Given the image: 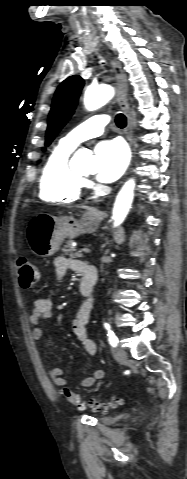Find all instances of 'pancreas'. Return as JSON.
<instances>
[{
  "mask_svg": "<svg viewBox=\"0 0 187 479\" xmlns=\"http://www.w3.org/2000/svg\"><path fill=\"white\" fill-rule=\"evenodd\" d=\"M72 244H73V240H71V239L67 240L66 244L63 248V252H65L66 254L70 253V256L72 258H81L83 256L82 253L81 252H75V249L72 246Z\"/></svg>",
  "mask_w": 187,
  "mask_h": 479,
  "instance_id": "pancreas-1",
  "label": "pancreas"
}]
</instances>
